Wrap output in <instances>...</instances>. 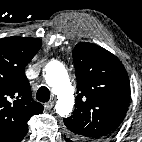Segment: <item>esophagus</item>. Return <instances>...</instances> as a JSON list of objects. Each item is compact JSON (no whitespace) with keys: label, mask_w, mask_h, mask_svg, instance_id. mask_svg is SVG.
<instances>
[{"label":"esophagus","mask_w":142,"mask_h":142,"mask_svg":"<svg viewBox=\"0 0 142 142\" xmlns=\"http://www.w3.org/2000/svg\"><path fill=\"white\" fill-rule=\"evenodd\" d=\"M53 105H54V102H53V101H49V102H47V103L44 105V107H45L46 110H51L52 107H53Z\"/></svg>","instance_id":"1"}]
</instances>
